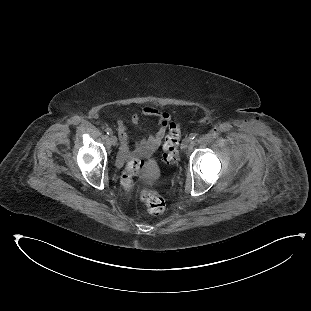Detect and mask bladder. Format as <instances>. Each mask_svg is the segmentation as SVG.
Returning <instances> with one entry per match:
<instances>
[{
  "instance_id": "obj_1",
  "label": "bladder",
  "mask_w": 311,
  "mask_h": 311,
  "mask_svg": "<svg viewBox=\"0 0 311 311\" xmlns=\"http://www.w3.org/2000/svg\"><path fill=\"white\" fill-rule=\"evenodd\" d=\"M154 159L150 158L148 160V164L146 165V167L142 170L143 175H145L146 177H150L152 174V169L151 166L154 164Z\"/></svg>"
}]
</instances>
